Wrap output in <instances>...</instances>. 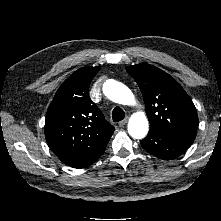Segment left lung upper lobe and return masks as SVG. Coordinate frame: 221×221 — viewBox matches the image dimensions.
Here are the masks:
<instances>
[{
    "mask_svg": "<svg viewBox=\"0 0 221 221\" xmlns=\"http://www.w3.org/2000/svg\"><path fill=\"white\" fill-rule=\"evenodd\" d=\"M126 70L141 89L150 130L195 137L198 128L196 108L174 78L147 63L129 66Z\"/></svg>",
    "mask_w": 221,
    "mask_h": 221,
    "instance_id": "left-lung-upper-lobe-1",
    "label": "left lung upper lobe"
}]
</instances>
